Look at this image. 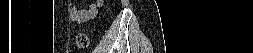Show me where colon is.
<instances>
[{"label": "colon", "mask_w": 253, "mask_h": 53, "mask_svg": "<svg viewBox=\"0 0 253 53\" xmlns=\"http://www.w3.org/2000/svg\"><path fill=\"white\" fill-rule=\"evenodd\" d=\"M89 45V37L85 33H79L76 37L75 46L77 49H84Z\"/></svg>", "instance_id": "obj_1"}]
</instances>
